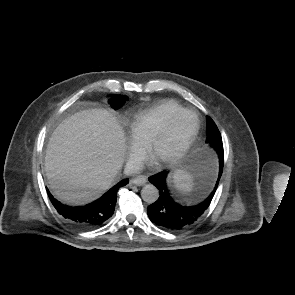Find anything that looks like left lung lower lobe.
Masks as SVG:
<instances>
[{"mask_svg":"<svg viewBox=\"0 0 295 295\" xmlns=\"http://www.w3.org/2000/svg\"><path fill=\"white\" fill-rule=\"evenodd\" d=\"M216 152L219 157L218 179L210 195L199 204L184 206L170 197L165 186L167 171L149 177V181L158 188L160 194L158 200L147 208L148 216L153 223L170 231L182 230L194 223L205 212L215 194L223 170V152L218 150Z\"/></svg>","mask_w":295,"mask_h":295,"instance_id":"0a47b994","label":"left lung lower lobe"}]
</instances>
